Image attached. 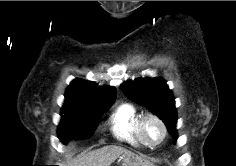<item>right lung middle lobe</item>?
Masks as SVG:
<instances>
[{
	"mask_svg": "<svg viewBox=\"0 0 236 166\" xmlns=\"http://www.w3.org/2000/svg\"><path fill=\"white\" fill-rule=\"evenodd\" d=\"M110 106L91 108L78 105H65L62 108V120L58 127L59 138L67 142L71 138H88L97 128L98 121Z\"/></svg>",
	"mask_w": 236,
	"mask_h": 166,
	"instance_id": "right-lung-middle-lobe-1",
	"label": "right lung middle lobe"
}]
</instances>
